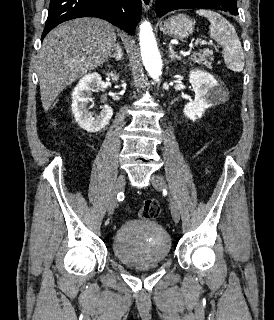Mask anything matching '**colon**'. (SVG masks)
Returning a JSON list of instances; mask_svg holds the SVG:
<instances>
[{
    "instance_id": "5ec220e1",
    "label": "colon",
    "mask_w": 274,
    "mask_h": 320,
    "mask_svg": "<svg viewBox=\"0 0 274 320\" xmlns=\"http://www.w3.org/2000/svg\"><path fill=\"white\" fill-rule=\"evenodd\" d=\"M160 213V207L158 202L153 198H148L144 200L143 208L141 210V215L147 219H154Z\"/></svg>"
}]
</instances>
